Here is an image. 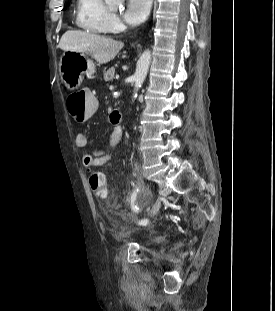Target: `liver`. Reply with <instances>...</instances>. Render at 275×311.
<instances>
[{"instance_id": "obj_1", "label": "liver", "mask_w": 275, "mask_h": 311, "mask_svg": "<svg viewBox=\"0 0 275 311\" xmlns=\"http://www.w3.org/2000/svg\"><path fill=\"white\" fill-rule=\"evenodd\" d=\"M59 48L64 51H76L90 55L99 64L113 60L124 44L98 34L85 31H67L59 42Z\"/></svg>"}]
</instances>
